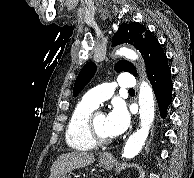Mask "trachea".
I'll return each mask as SVG.
<instances>
[{
    "label": "trachea",
    "mask_w": 194,
    "mask_h": 178,
    "mask_svg": "<svg viewBox=\"0 0 194 178\" xmlns=\"http://www.w3.org/2000/svg\"><path fill=\"white\" fill-rule=\"evenodd\" d=\"M129 92H135V90L134 89H129Z\"/></svg>",
    "instance_id": "1"
}]
</instances>
